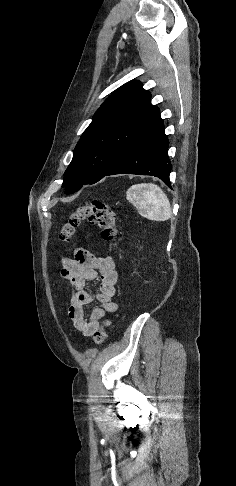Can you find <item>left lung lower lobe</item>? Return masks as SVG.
I'll return each mask as SVG.
<instances>
[{"label": "left lung lower lobe", "mask_w": 236, "mask_h": 486, "mask_svg": "<svg viewBox=\"0 0 236 486\" xmlns=\"http://www.w3.org/2000/svg\"><path fill=\"white\" fill-rule=\"evenodd\" d=\"M168 145L164 123L159 117L131 143L105 176L115 174L151 175L160 178L171 187L169 174L172 165L168 158Z\"/></svg>", "instance_id": "left-lung-lower-lobe-1"}]
</instances>
